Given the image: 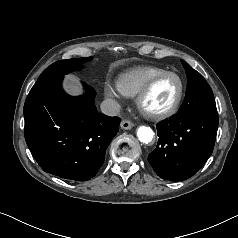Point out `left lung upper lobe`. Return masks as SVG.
<instances>
[{"mask_svg": "<svg viewBox=\"0 0 238 238\" xmlns=\"http://www.w3.org/2000/svg\"><path fill=\"white\" fill-rule=\"evenodd\" d=\"M187 74L186 98L180 115H192L198 111L216 108L213 92L204 77L182 60Z\"/></svg>", "mask_w": 238, "mask_h": 238, "instance_id": "left-lung-upper-lobe-1", "label": "left lung upper lobe"}]
</instances>
